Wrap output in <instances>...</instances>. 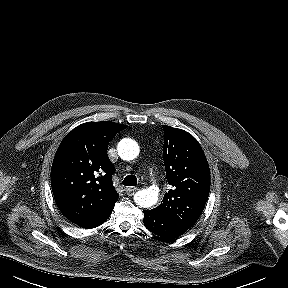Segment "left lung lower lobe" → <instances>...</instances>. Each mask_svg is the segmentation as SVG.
Wrapping results in <instances>:
<instances>
[{
  "label": "left lung lower lobe",
  "mask_w": 288,
  "mask_h": 288,
  "mask_svg": "<svg viewBox=\"0 0 288 288\" xmlns=\"http://www.w3.org/2000/svg\"><path fill=\"white\" fill-rule=\"evenodd\" d=\"M144 225L152 233L170 240L184 234L189 228L183 227L158 215L153 210H144Z\"/></svg>",
  "instance_id": "1"
}]
</instances>
